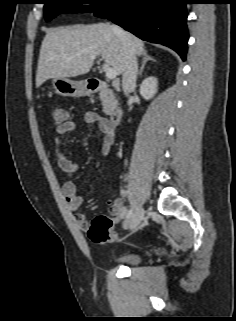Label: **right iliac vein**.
<instances>
[{
    "mask_svg": "<svg viewBox=\"0 0 236 321\" xmlns=\"http://www.w3.org/2000/svg\"><path fill=\"white\" fill-rule=\"evenodd\" d=\"M144 216V210L142 206H138L134 213L128 218L125 222V227L129 228L130 230H134L137 226L141 223Z\"/></svg>",
    "mask_w": 236,
    "mask_h": 321,
    "instance_id": "63e3f726",
    "label": "right iliac vein"
}]
</instances>
